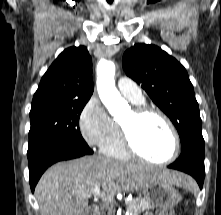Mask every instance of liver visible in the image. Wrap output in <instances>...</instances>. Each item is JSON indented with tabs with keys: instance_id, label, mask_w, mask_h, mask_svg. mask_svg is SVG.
Here are the masks:
<instances>
[{
	"instance_id": "liver-1",
	"label": "liver",
	"mask_w": 221,
	"mask_h": 215,
	"mask_svg": "<svg viewBox=\"0 0 221 215\" xmlns=\"http://www.w3.org/2000/svg\"><path fill=\"white\" fill-rule=\"evenodd\" d=\"M155 179L183 187L193 183L177 171L92 156L51 166L39 180L35 194L40 215H87L91 196L105 199L120 191L138 190Z\"/></svg>"
}]
</instances>
